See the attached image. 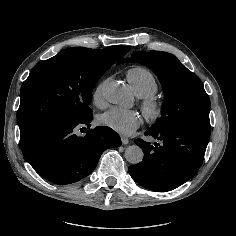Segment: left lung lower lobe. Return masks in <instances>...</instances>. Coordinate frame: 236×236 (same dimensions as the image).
I'll list each match as a JSON object with an SVG mask.
<instances>
[{"label":"left lung lower lobe","mask_w":236,"mask_h":236,"mask_svg":"<svg viewBox=\"0 0 236 236\" xmlns=\"http://www.w3.org/2000/svg\"><path fill=\"white\" fill-rule=\"evenodd\" d=\"M159 143L142 139L135 143L143 149V160L129 167L133 180L153 191H170L190 180L202 165L210 130L196 127L148 129Z\"/></svg>","instance_id":"1"}]
</instances>
